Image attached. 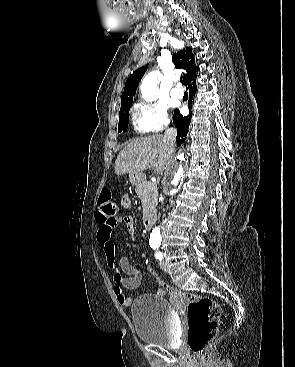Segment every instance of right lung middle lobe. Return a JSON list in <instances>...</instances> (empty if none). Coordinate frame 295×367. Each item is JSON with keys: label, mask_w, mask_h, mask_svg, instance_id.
Here are the masks:
<instances>
[{"label": "right lung middle lobe", "mask_w": 295, "mask_h": 367, "mask_svg": "<svg viewBox=\"0 0 295 367\" xmlns=\"http://www.w3.org/2000/svg\"><path fill=\"white\" fill-rule=\"evenodd\" d=\"M131 105L132 102L121 105V109L119 112L118 132H125L128 128L129 110L131 108Z\"/></svg>", "instance_id": "dd1d6c3e"}]
</instances>
